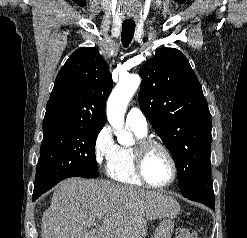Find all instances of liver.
<instances>
[{
	"instance_id": "liver-1",
	"label": "liver",
	"mask_w": 247,
	"mask_h": 238,
	"mask_svg": "<svg viewBox=\"0 0 247 238\" xmlns=\"http://www.w3.org/2000/svg\"><path fill=\"white\" fill-rule=\"evenodd\" d=\"M179 212L177 200L160 192L72 177L55 187L41 238H142L148 221Z\"/></svg>"
}]
</instances>
